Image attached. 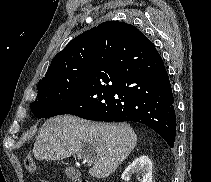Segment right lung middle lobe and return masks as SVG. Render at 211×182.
<instances>
[{"label": "right lung middle lobe", "instance_id": "1", "mask_svg": "<svg viewBox=\"0 0 211 182\" xmlns=\"http://www.w3.org/2000/svg\"><path fill=\"white\" fill-rule=\"evenodd\" d=\"M91 65L92 62L40 80L37 85V99L30 105L32 113L37 118L58 115V112L83 89Z\"/></svg>", "mask_w": 211, "mask_h": 182}]
</instances>
